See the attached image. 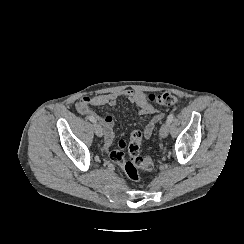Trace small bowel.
Returning a JSON list of instances; mask_svg holds the SVG:
<instances>
[{
  "instance_id": "1",
  "label": "small bowel",
  "mask_w": 244,
  "mask_h": 244,
  "mask_svg": "<svg viewBox=\"0 0 244 244\" xmlns=\"http://www.w3.org/2000/svg\"><path fill=\"white\" fill-rule=\"evenodd\" d=\"M119 97H123L127 99L130 103L134 104L137 107V111L140 116H151L150 120L144 128L143 133L145 137H150L156 125L163 119V114L155 106L150 104L147 101L146 94L140 91L126 90L120 94L109 93L95 96H83L77 102V111L81 116L85 114H90L94 116L102 125L104 130L105 149L111 148L115 140L114 118L110 114L100 116L91 109V106H115Z\"/></svg>"
}]
</instances>
